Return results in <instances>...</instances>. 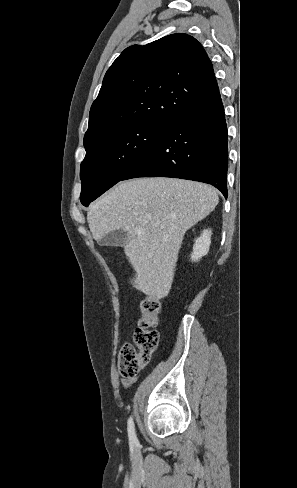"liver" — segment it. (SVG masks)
I'll return each mask as SVG.
<instances>
[{"label":"liver","instance_id":"6515ba94","mask_svg":"<svg viewBox=\"0 0 297 488\" xmlns=\"http://www.w3.org/2000/svg\"><path fill=\"white\" fill-rule=\"evenodd\" d=\"M217 191L203 183L171 178L121 182L87 213L93 238L124 230L122 245L135 271L132 285L159 300L168 295L184 234L218 204Z\"/></svg>","mask_w":297,"mask_h":488}]
</instances>
